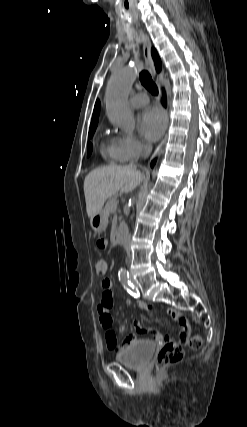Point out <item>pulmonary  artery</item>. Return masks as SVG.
Wrapping results in <instances>:
<instances>
[{
  "instance_id": "pulmonary-artery-1",
  "label": "pulmonary artery",
  "mask_w": 247,
  "mask_h": 427,
  "mask_svg": "<svg viewBox=\"0 0 247 427\" xmlns=\"http://www.w3.org/2000/svg\"><path fill=\"white\" fill-rule=\"evenodd\" d=\"M148 102L149 99L147 95L143 93L136 94L130 99V103L133 107H142L145 106Z\"/></svg>"
}]
</instances>
